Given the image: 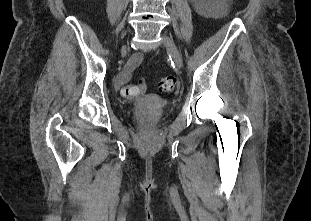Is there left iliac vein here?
Masks as SVG:
<instances>
[{"mask_svg": "<svg viewBox=\"0 0 311 221\" xmlns=\"http://www.w3.org/2000/svg\"><path fill=\"white\" fill-rule=\"evenodd\" d=\"M162 41H163L164 46L168 50V52L171 54L173 61L175 63V66L178 69H181L183 66V61H182L181 54L174 43V40L170 36L163 34Z\"/></svg>", "mask_w": 311, "mask_h": 221, "instance_id": "obj_1", "label": "left iliac vein"}]
</instances>
